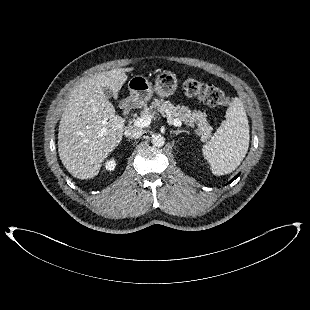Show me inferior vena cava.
<instances>
[{
  "label": "inferior vena cava",
  "mask_w": 310,
  "mask_h": 310,
  "mask_svg": "<svg viewBox=\"0 0 310 310\" xmlns=\"http://www.w3.org/2000/svg\"><path fill=\"white\" fill-rule=\"evenodd\" d=\"M143 132L133 128H127L124 132V135L131 139H138L142 136Z\"/></svg>",
  "instance_id": "inferior-vena-cava-1"
}]
</instances>
